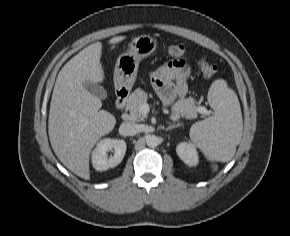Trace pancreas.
Wrapping results in <instances>:
<instances>
[{
	"label": "pancreas",
	"mask_w": 290,
	"mask_h": 236,
	"mask_svg": "<svg viewBox=\"0 0 290 236\" xmlns=\"http://www.w3.org/2000/svg\"><path fill=\"white\" fill-rule=\"evenodd\" d=\"M148 94L142 89H136L129 97L126 110L129 111L130 118L132 120H143L147 117L141 111V106L147 103ZM174 116L185 117L186 119H195L198 115V107L195 104V100L192 97L186 99H180L171 108Z\"/></svg>",
	"instance_id": "1"
}]
</instances>
